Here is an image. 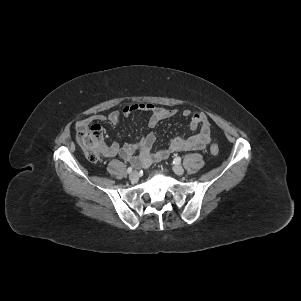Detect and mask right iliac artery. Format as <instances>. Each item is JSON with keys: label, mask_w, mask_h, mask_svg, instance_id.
Listing matches in <instances>:
<instances>
[{"label": "right iliac artery", "mask_w": 301, "mask_h": 301, "mask_svg": "<svg viewBox=\"0 0 301 301\" xmlns=\"http://www.w3.org/2000/svg\"><path fill=\"white\" fill-rule=\"evenodd\" d=\"M131 172H132V167H128L127 173H131Z\"/></svg>", "instance_id": "82829eb1"}]
</instances>
